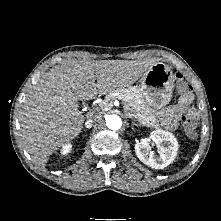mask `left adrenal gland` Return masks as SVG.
<instances>
[{"mask_svg":"<svg viewBox=\"0 0 221 221\" xmlns=\"http://www.w3.org/2000/svg\"><path fill=\"white\" fill-rule=\"evenodd\" d=\"M131 126H137V127H140L141 125L138 124V123L133 122V123L131 124Z\"/></svg>","mask_w":221,"mask_h":221,"instance_id":"left-adrenal-gland-1","label":"left adrenal gland"}]
</instances>
